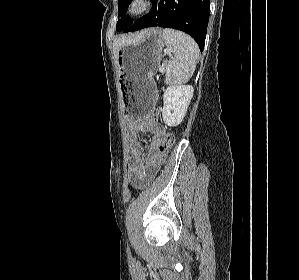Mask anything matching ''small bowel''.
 <instances>
[{
  "instance_id": "c3829d8e",
  "label": "small bowel",
  "mask_w": 299,
  "mask_h": 280,
  "mask_svg": "<svg viewBox=\"0 0 299 280\" xmlns=\"http://www.w3.org/2000/svg\"><path fill=\"white\" fill-rule=\"evenodd\" d=\"M129 179L131 183L152 179L160 168L161 149L165 143L166 129L157 121L131 120ZM150 132L153 139L145 154L144 147L137 141V133Z\"/></svg>"
}]
</instances>
